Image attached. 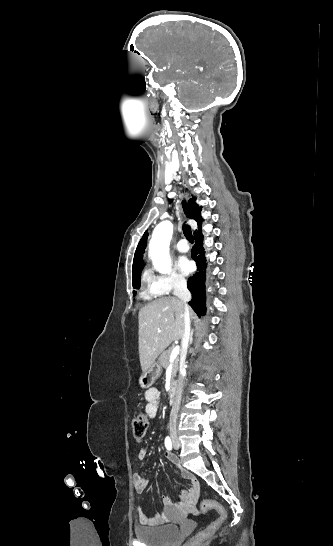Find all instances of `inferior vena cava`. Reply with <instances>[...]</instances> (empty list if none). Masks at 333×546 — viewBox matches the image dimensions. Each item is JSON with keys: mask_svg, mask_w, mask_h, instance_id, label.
<instances>
[{"mask_svg": "<svg viewBox=\"0 0 333 546\" xmlns=\"http://www.w3.org/2000/svg\"><path fill=\"white\" fill-rule=\"evenodd\" d=\"M174 288V295L180 299L184 305V312H183V335L181 339L182 343V357L185 358L187 354L188 345L190 342V316H189V306L188 302L191 299V293L187 289V283L184 279H176L173 283ZM181 370H184V367L182 365ZM183 382H184V374L181 372L178 380V385L176 389V395L174 399V403L172 406V410L170 413V420H169V430L170 432L176 431V422H177V415L181 403V397H182V391H183Z\"/></svg>", "mask_w": 333, "mask_h": 546, "instance_id": "inferior-vena-cava-1", "label": "inferior vena cava"}]
</instances>
